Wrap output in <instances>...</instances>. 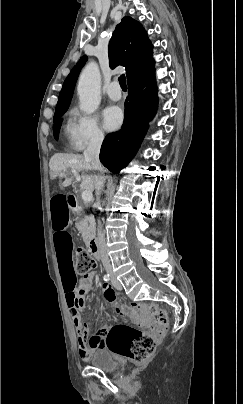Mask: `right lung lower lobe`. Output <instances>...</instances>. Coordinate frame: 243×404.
Returning a JSON list of instances; mask_svg holds the SVG:
<instances>
[{
    "label": "right lung lower lobe",
    "mask_w": 243,
    "mask_h": 404,
    "mask_svg": "<svg viewBox=\"0 0 243 404\" xmlns=\"http://www.w3.org/2000/svg\"><path fill=\"white\" fill-rule=\"evenodd\" d=\"M158 104L155 69L128 82L125 118L121 130L106 136L100 161L111 172L119 173L137 152L154 117Z\"/></svg>",
    "instance_id": "right-lung-lower-lobe-1"
}]
</instances>
